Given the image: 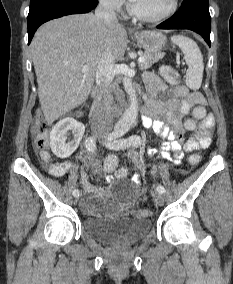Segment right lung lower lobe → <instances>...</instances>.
I'll return each mask as SVG.
<instances>
[{
    "instance_id": "right-lung-lower-lobe-1",
    "label": "right lung lower lobe",
    "mask_w": 233,
    "mask_h": 284,
    "mask_svg": "<svg viewBox=\"0 0 233 284\" xmlns=\"http://www.w3.org/2000/svg\"><path fill=\"white\" fill-rule=\"evenodd\" d=\"M98 0H43L30 4L28 14V43L37 28L46 21L65 15L87 13L94 9Z\"/></svg>"
}]
</instances>
